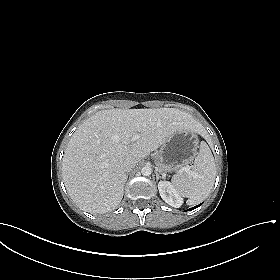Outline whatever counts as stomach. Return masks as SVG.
Masks as SVG:
<instances>
[{"instance_id": "0dacf381", "label": "stomach", "mask_w": 280, "mask_h": 280, "mask_svg": "<svg viewBox=\"0 0 280 280\" xmlns=\"http://www.w3.org/2000/svg\"><path fill=\"white\" fill-rule=\"evenodd\" d=\"M198 142L194 130L182 129L174 133L158 152L160 171H178L192 163L197 154Z\"/></svg>"}]
</instances>
